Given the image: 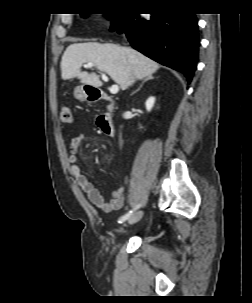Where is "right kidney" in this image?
<instances>
[{"instance_id": "right-kidney-1", "label": "right kidney", "mask_w": 252, "mask_h": 303, "mask_svg": "<svg viewBox=\"0 0 252 303\" xmlns=\"http://www.w3.org/2000/svg\"><path fill=\"white\" fill-rule=\"evenodd\" d=\"M154 103H155V98L154 97H149L146 102H145V106H146V109L147 111H151L153 106H154Z\"/></svg>"}]
</instances>
